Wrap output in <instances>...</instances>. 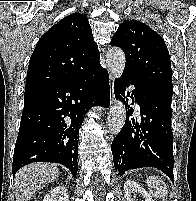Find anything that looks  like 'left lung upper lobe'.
Masks as SVG:
<instances>
[{"label": "left lung upper lobe", "instance_id": "left-lung-upper-lobe-1", "mask_svg": "<svg viewBox=\"0 0 196 201\" xmlns=\"http://www.w3.org/2000/svg\"><path fill=\"white\" fill-rule=\"evenodd\" d=\"M110 44L121 47L125 53L123 74L135 78L144 86L172 95L170 56L159 34L140 21L125 20Z\"/></svg>", "mask_w": 196, "mask_h": 201}]
</instances>
